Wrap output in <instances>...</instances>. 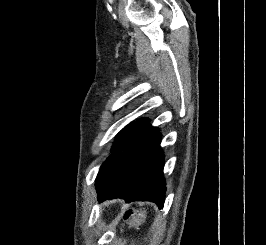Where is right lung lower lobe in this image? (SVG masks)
Instances as JSON below:
<instances>
[{
	"label": "right lung lower lobe",
	"mask_w": 266,
	"mask_h": 245,
	"mask_svg": "<svg viewBox=\"0 0 266 245\" xmlns=\"http://www.w3.org/2000/svg\"><path fill=\"white\" fill-rule=\"evenodd\" d=\"M160 140L159 130L146 124L117 148L98 173L99 201L113 198L151 201L163 208L166 188Z\"/></svg>",
	"instance_id": "1"
}]
</instances>
